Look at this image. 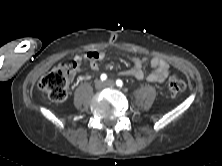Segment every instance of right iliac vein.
Wrapping results in <instances>:
<instances>
[{"instance_id": "obj_1", "label": "right iliac vein", "mask_w": 222, "mask_h": 166, "mask_svg": "<svg viewBox=\"0 0 222 166\" xmlns=\"http://www.w3.org/2000/svg\"><path fill=\"white\" fill-rule=\"evenodd\" d=\"M104 87V83L101 80H97L95 82V88L96 89H102Z\"/></svg>"}]
</instances>
